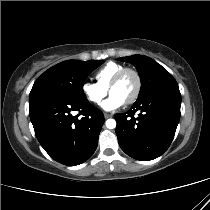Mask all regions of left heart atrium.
<instances>
[{"mask_svg":"<svg viewBox=\"0 0 210 210\" xmlns=\"http://www.w3.org/2000/svg\"><path fill=\"white\" fill-rule=\"evenodd\" d=\"M124 101L117 95L111 94L106 100L103 101L101 107L105 111H114L124 105Z\"/></svg>","mask_w":210,"mask_h":210,"instance_id":"39dd6f15","label":"left heart atrium"}]
</instances>
